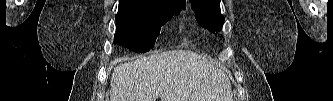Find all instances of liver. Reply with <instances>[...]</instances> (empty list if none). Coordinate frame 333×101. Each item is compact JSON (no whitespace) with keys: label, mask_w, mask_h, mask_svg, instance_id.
Segmentation results:
<instances>
[{"label":"liver","mask_w":333,"mask_h":101,"mask_svg":"<svg viewBox=\"0 0 333 101\" xmlns=\"http://www.w3.org/2000/svg\"><path fill=\"white\" fill-rule=\"evenodd\" d=\"M111 101H233L227 75L196 53L173 50L117 66Z\"/></svg>","instance_id":"1"}]
</instances>
